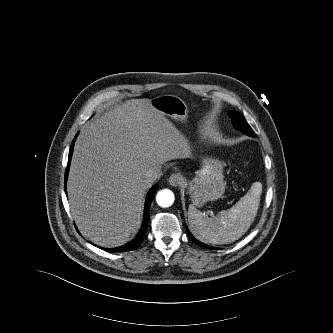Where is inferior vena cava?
<instances>
[{
    "mask_svg": "<svg viewBox=\"0 0 333 333\" xmlns=\"http://www.w3.org/2000/svg\"><path fill=\"white\" fill-rule=\"evenodd\" d=\"M160 172H161V166L160 165L151 167L146 172L145 182L147 184H151V183L155 182L160 177Z\"/></svg>",
    "mask_w": 333,
    "mask_h": 333,
    "instance_id": "1",
    "label": "inferior vena cava"
}]
</instances>
